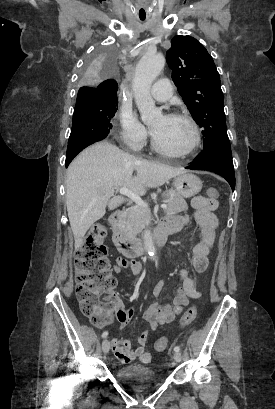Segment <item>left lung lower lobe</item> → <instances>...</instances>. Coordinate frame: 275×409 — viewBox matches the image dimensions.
<instances>
[{
	"label": "left lung lower lobe",
	"mask_w": 275,
	"mask_h": 409,
	"mask_svg": "<svg viewBox=\"0 0 275 409\" xmlns=\"http://www.w3.org/2000/svg\"><path fill=\"white\" fill-rule=\"evenodd\" d=\"M186 168L212 171L225 178L230 184L232 191H234L235 173L230 142L219 143L203 150L197 155L192 164Z\"/></svg>",
	"instance_id": "obj_1"
}]
</instances>
